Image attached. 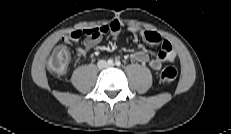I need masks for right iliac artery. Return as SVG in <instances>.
<instances>
[{"label": "right iliac artery", "mask_w": 231, "mask_h": 134, "mask_svg": "<svg viewBox=\"0 0 231 134\" xmlns=\"http://www.w3.org/2000/svg\"><path fill=\"white\" fill-rule=\"evenodd\" d=\"M107 63H108V64H113V60H112V59H109V60L107 61Z\"/></svg>", "instance_id": "1"}]
</instances>
